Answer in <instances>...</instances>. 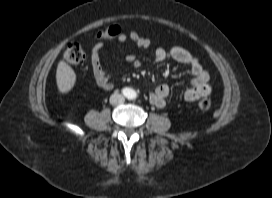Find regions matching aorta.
<instances>
[{
	"label": "aorta",
	"mask_w": 272,
	"mask_h": 198,
	"mask_svg": "<svg viewBox=\"0 0 272 198\" xmlns=\"http://www.w3.org/2000/svg\"><path fill=\"white\" fill-rule=\"evenodd\" d=\"M126 96H127L128 99H135L136 96H137V94H136V91H135V90H133V89H128V90L126 91Z\"/></svg>",
	"instance_id": "1"
}]
</instances>
